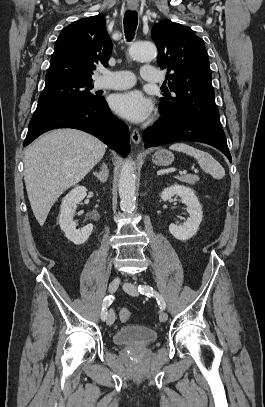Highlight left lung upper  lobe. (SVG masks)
I'll list each match as a JSON object with an SVG mask.
<instances>
[{
    "label": "left lung upper lobe",
    "mask_w": 265,
    "mask_h": 407,
    "mask_svg": "<svg viewBox=\"0 0 265 407\" xmlns=\"http://www.w3.org/2000/svg\"><path fill=\"white\" fill-rule=\"evenodd\" d=\"M151 37L172 92L160 98L161 116L191 117L222 128L204 41L191 28L168 20L156 23Z\"/></svg>",
    "instance_id": "5c2ea615"
}]
</instances>
